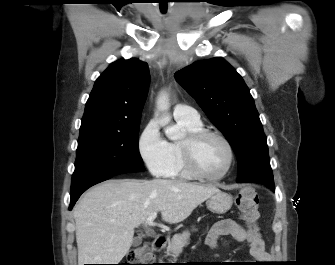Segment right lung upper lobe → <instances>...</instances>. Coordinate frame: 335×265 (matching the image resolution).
<instances>
[{"label": "right lung upper lobe", "mask_w": 335, "mask_h": 265, "mask_svg": "<svg viewBox=\"0 0 335 265\" xmlns=\"http://www.w3.org/2000/svg\"><path fill=\"white\" fill-rule=\"evenodd\" d=\"M148 86L146 62L134 58L113 62L94 84L80 132L121 129L140 121Z\"/></svg>", "instance_id": "right-lung-upper-lobe-1"}]
</instances>
